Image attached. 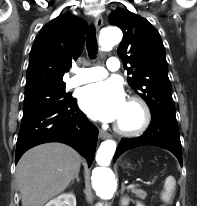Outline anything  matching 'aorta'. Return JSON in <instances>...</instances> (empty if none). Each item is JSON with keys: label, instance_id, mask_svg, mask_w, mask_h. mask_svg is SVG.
Instances as JSON below:
<instances>
[{"label": "aorta", "instance_id": "1", "mask_svg": "<svg viewBox=\"0 0 197 206\" xmlns=\"http://www.w3.org/2000/svg\"><path fill=\"white\" fill-rule=\"evenodd\" d=\"M122 39V33L119 28L107 27L102 30L99 38L102 50H110ZM116 150V143L113 140H106L101 143L97 154V167L92 173V186L97 195L107 199L113 196L117 189V182L114 174L109 168L110 162Z\"/></svg>", "mask_w": 197, "mask_h": 206}]
</instances>
